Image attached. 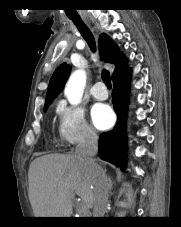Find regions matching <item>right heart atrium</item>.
Returning <instances> with one entry per match:
<instances>
[{"mask_svg":"<svg viewBox=\"0 0 181 227\" xmlns=\"http://www.w3.org/2000/svg\"><path fill=\"white\" fill-rule=\"evenodd\" d=\"M59 115V135L68 145L92 143L97 140L94 128L87 122L81 107L60 101L57 105Z\"/></svg>","mask_w":181,"mask_h":227,"instance_id":"obj_1","label":"right heart atrium"}]
</instances>
